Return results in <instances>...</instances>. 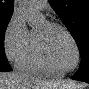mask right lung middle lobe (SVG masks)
Returning <instances> with one entry per match:
<instances>
[{
    "instance_id": "1",
    "label": "right lung middle lobe",
    "mask_w": 89,
    "mask_h": 89,
    "mask_svg": "<svg viewBox=\"0 0 89 89\" xmlns=\"http://www.w3.org/2000/svg\"><path fill=\"white\" fill-rule=\"evenodd\" d=\"M13 12H2L0 11V60H6L3 41L7 25L11 19Z\"/></svg>"
}]
</instances>
